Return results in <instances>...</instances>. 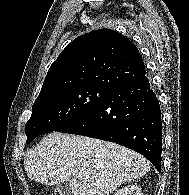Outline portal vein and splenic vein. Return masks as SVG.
<instances>
[{
  "instance_id": "18ae733b",
  "label": "portal vein and splenic vein",
  "mask_w": 189,
  "mask_h": 195,
  "mask_svg": "<svg viewBox=\"0 0 189 195\" xmlns=\"http://www.w3.org/2000/svg\"><path fill=\"white\" fill-rule=\"evenodd\" d=\"M76 178H81V175H76Z\"/></svg>"
}]
</instances>
